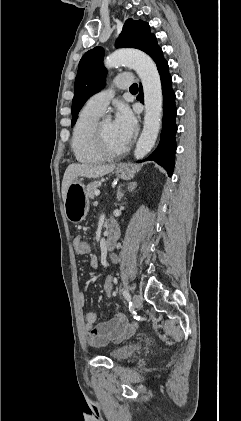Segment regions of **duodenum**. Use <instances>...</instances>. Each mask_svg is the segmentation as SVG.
Segmentation results:
<instances>
[{"label":"duodenum","instance_id":"410a0bca","mask_svg":"<svg viewBox=\"0 0 241 421\" xmlns=\"http://www.w3.org/2000/svg\"><path fill=\"white\" fill-rule=\"evenodd\" d=\"M119 237V228L115 223H111L106 240H105V246L108 250H111L114 248L117 239Z\"/></svg>","mask_w":241,"mask_h":421}]
</instances>
